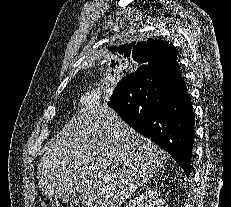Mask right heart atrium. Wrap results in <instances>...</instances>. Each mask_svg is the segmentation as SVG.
I'll return each mask as SVG.
<instances>
[{"mask_svg": "<svg viewBox=\"0 0 231 207\" xmlns=\"http://www.w3.org/2000/svg\"><path fill=\"white\" fill-rule=\"evenodd\" d=\"M76 103L80 109H83L87 112H93L100 107L101 97L98 91H85L77 97Z\"/></svg>", "mask_w": 231, "mask_h": 207, "instance_id": "right-heart-atrium-1", "label": "right heart atrium"}]
</instances>
